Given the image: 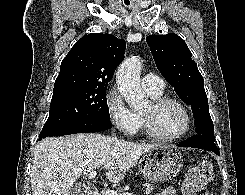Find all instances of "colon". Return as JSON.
Segmentation results:
<instances>
[{"instance_id": "5ec220e1", "label": "colon", "mask_w": 245, "mask_h": 195, "mask_svg": "<svg viewBox=\"0 0 245 195\" xmlns=\"http://www.w3.org/2000/svg\"><path fill=\"white\" fill-rule=\"evenodd\" d=\"M213 165L202 161L190 168L185 174L181 191L183 195H211L206 185L213 179Z\"/></svg>"}]
</instances>
